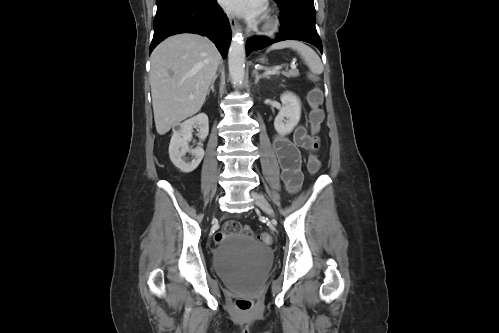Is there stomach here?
I'll use <instances>...</instances> for the list:
<instances>
[{
	"label": "stomach",
	"instance_id": "stomach-1",
	"mask_svg": "<svg viewBox=\"0 0 499 333\" xmlns=\"http://www.w3.org/2000/svg\"><path fill=\"white\" fill-rule=\"evenodd\" d=\"M259 62H260V63H264V62H265V59H264V58H260V59H259Z\"/></svg>",
	"mask_w": 499,
	"mask_h": 333
}]
</instances>
